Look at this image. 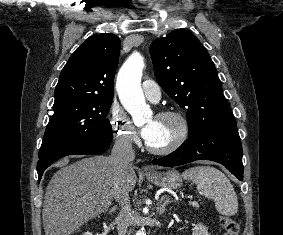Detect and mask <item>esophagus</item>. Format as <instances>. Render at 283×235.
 Returning a JSON list of instances; mask_svg holds the SVG:
<instances>
[{
  "mask_svg": "<svg viewBox=\"0 0 283 235\" xmlns=\"http://www.w3.org/2000/svg\"><path fill=\"white\" fill-rule=\"evenodd\" d=\"M154 170L150 166H144V172L146 173H152Z\"/></svg>",
  "mask_w": 283,
  "mask_h": 235,
  "instance_id": "esophagus-1",
  "label": "esophagus"
}]
</instances>
